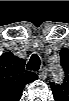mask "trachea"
<instances>
[{"label": "trachea", "instance_id": "3493384b", "mask_svg": "<svg viewBox=\"0 0 69 101\" xmlns=\"http://www.w3.org/2000/svg\"><path fill=\"white\" fill-rule=\"evenodd\" d=\"M41 66L40 58L37 54H33L31 58L29 59V62L27 64V69L32 71H38Z\"/></svg>", "mask_w": 69, "mask_h": 101}]
</instances>
